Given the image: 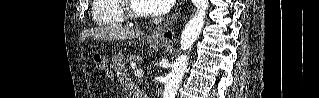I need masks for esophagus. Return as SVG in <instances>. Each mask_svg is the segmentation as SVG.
Listing matches in <instances>:
<instances>
[{"instance_id":"obj_1","label":"esophagus","mask_w":319,"mask_h":98,"mask_svg":"<svg viewBox=\"0 0 319 98\" xmlns=\"http://www.w3.org/2000/svg\"><path fill=\"white\" fill-rule=\"evenodd\" d=\"M180 15L181 8L175 11L173 15L168 17L162 24L156 27L151 33V37L165 43H173L176 37L173 26L179 20Z\"/></svg>"}]
</instances>
